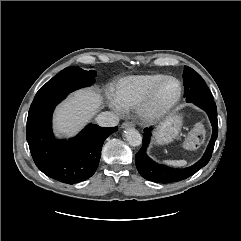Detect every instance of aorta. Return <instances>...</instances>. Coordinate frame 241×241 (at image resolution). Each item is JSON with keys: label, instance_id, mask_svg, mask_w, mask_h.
Returning a JSON list of instances; mask_svg holds the SVG:
<instances>
[{"label": "aorta", "instance_id": "obj_1", "mask_svg": "<svg viewBox=\"0 0 241 241\" xmlns=\"http://www.w3.org/2000/svg\"><path fill=\"white\" fill-rule=\"evenodd\" d=\"M124 134L130 146L137 147L142 144V136L136 129L129 128L125 130Z\"/></svg>", "mask_w": 241, "mask_h": 241}]
</instances>
